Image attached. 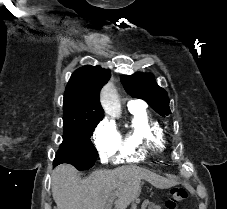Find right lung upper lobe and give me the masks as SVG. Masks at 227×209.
Segmentation results:
<instances>
[{"mask_svg": "<svg viewBox=\"0 0 227 209\" xmlns=\"http://www.w3.org/2000/svg\"><path fill=\"white\" fill-rule=\"evenodd\" d=\"M110 70L100 66H84L76 70L65 90L63 100V118L99 116L103 109L99 101V92L110 78Z\"/></svg>", "mask_w": 227, "mask_h": 209, "instance_id": "1", "label": "right lung upper lobe"}]
</instances>
